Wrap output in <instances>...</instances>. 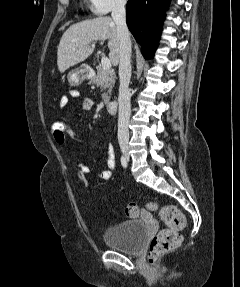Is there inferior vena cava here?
Returning a JSON list of instances; mask_svg holds the SVG:
<instances>
[{
  "mask_svg": "<svg viewBox=\"0 0 240 287\" xmlns=\"http://www.w3.org/2000/svg\"><path fill=\"white\" fill-rule=\"evenodd\" d=\"M126 0H114L112 6V19L116 24L119 39V117L118 141L121 148H128L129 119H130V92L131 77V39L125 19Z\"/></svg>",
  "mask_w": 240,
  "mask_h": 287,
  "instance_id": "1",
  "label": "inferior vena cava"
}]
</instances>
